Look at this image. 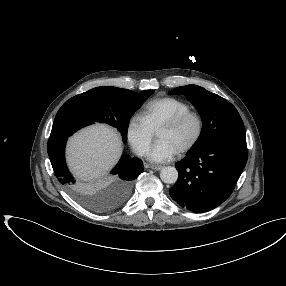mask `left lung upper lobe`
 Returning <instances> with one entry per match:
<instances>
[{
  "instance_id": "1",
  "label": "left lung upper lobe",
  "mask_w": 286,
  "mask_h": 286,
  "mask_svg": "<svg viewBox=\"0 0 286 286\" xmlns=\"http://www.w3.org/2000/svg\"><path fill=\"white\" fill-rule=\"evenodd\" d=\"M170 94L186 95L202 118L201 135L190 151L222 141L246 143L243 121L236 108L224 98L197 85L178 87Z\"/></svg>"
}]
</instances>
